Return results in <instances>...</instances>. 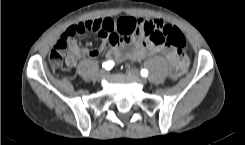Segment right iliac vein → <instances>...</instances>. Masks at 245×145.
Instances as JSON below:
<instances>
[{
  "mask_svg": "<svg viewBox=\"0 0 245 145\" xmlns=\"http://www.w3.org/2000/svg\"><path fill=\"white\" fill-rule=\"evenodd\" d=\"M107 75H108V72L106 71V70H101L99 73H98V75H97V80L98 81H101V80H103L104 78H106L107 77Z\"/></svg>",
  "mask_w": 245,
  "mask_h": 145,
  "instance_id": "63e3f726",
  "label": "right iliac vein"
}]
</instances>
